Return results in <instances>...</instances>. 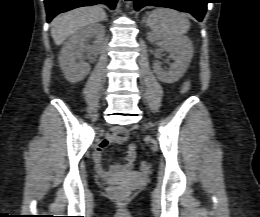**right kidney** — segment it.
Here are the masks:
<instances>
[{"label":"right kidney","mask_w":260,"mask_h":217,"mask_svg":"<svg viewBox=\"0 0 260 217\" xmlns=\"http://www.w3.org/2000/svg\"><path fill=\"white\" fill-rule=\"evenodd\" d=\"M105 27L101 24H90L81 28L65 42L60 54V66L71 83L83 80L90 72V65L85 62L84 53L97 55L104 40ZM93 39V44H88Z\"/></svg>","instance_id":"1"}]
</instances>
